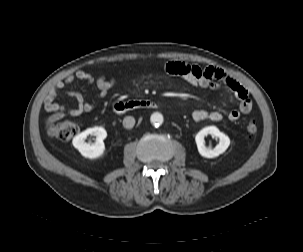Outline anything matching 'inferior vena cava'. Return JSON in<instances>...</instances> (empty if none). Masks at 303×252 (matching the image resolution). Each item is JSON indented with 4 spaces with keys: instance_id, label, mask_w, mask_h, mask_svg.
<instances>
[{
    "instance_id": "1",
    "label": "inferior vena cava",
    "mask_w": 303,
    "mask_h": 252,
    "mask_svg": "<svg viewBox=\"0 0 303 252\" xmlns=\"http://www.w3.org/2000/svg\"><path fill=\"white\" fill-rule=\"evenodd\" d=\"M135 119L132 116H127L123 120V126L127 129L133 128Z\"/></svg>"
}]
</instances>
